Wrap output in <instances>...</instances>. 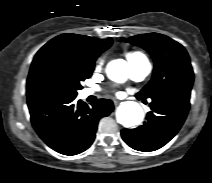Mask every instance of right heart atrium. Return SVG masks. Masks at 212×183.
Returning <instances> with one entry per match:
<instances>
[{
    "instance_id": "1",
    "label": "right heart atrium",
    "mask_w": 212,
    "mask_h": 183,
    "mask_svg": "<svg viewBox=\"0 0 212 183\" xmlns=\"http://www.w3.org/2000/svg\"><path fill=\"white\" fill-rule=\"evenodd\" d=\"M102 64H103V61L100 60L96 66V69L99 70L101 68Z\"/></svg>"
}]
</instances>
